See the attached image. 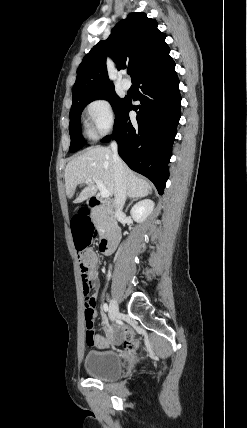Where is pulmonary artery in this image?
I'll list each match as a JSON object with an SVG mask.
<instances>
[{"instance_id": "obj_1", "label": "pulmonary artery", "mask_w": 247, "mask_h": 428, "mask_svg": "<svg viewBox=\"0 0 247 428\" xmlns=\"http://www.w3.org/2000/svg\"><path fill=\"white\" fill-rule=\"evenodd\" d=\"M122 88L128 90L131 86L130 82L127 79H123L121 82Z\"/></svg>"}]
</instances>
